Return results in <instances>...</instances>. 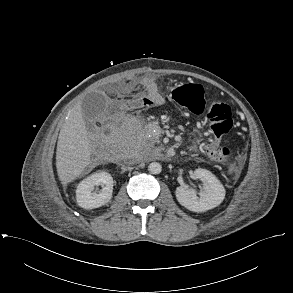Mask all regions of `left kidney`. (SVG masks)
Wrapping results in <instances>:
<instances>
[{"instance_id": "5707ae66", "label": "left kidney", "mask_w": 293, "mask_h": 293, "mask_svg": "<svg viewBox=\"0 0 293 293\" xmlns=\"http://www.w3.org/2000/svg\"><path fill=\"white\" fill-rule=\"evenodd\" d=\"M194 176L203 182L199 197L194 190L179 186L175 191L178 202L194 212H204L220 205L225 198V189L216 176L201 168L194 171Z\"/></svg>"}]
</instances>
